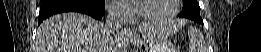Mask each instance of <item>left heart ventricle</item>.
Returning <instances> with one entry per match:
<instances>
[{"mask_svg":"<svg viewBox=\"0 0 261 52\" xmlns=\"http://www.w3.org/2000/svg\"><path fill=\"white\" fill-rule=\"evenodd\" d=\"M138 11L147 17L165 15L172 8V0H146L137 2Z\"/></svg>","mask_w":261,"mask_h":52,"instance_id":"1","label":"left heart ventricle"}]
</instances>
